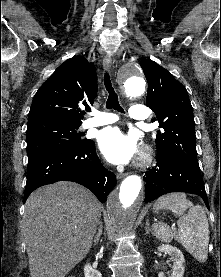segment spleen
I'll return each instance as SVG.
<instances>
[{
    "label": "spleen",
    "instance_id": "3e777b00",
    "mask_svg": "<svg viewBox=\"0 0 221 277\" xmlns=\"http://www.w3.org/2000/svg\"><path fill=\"white\" fill-rule=\"evenodd\" d=\"M155 207L170 210L179 219L177 231L163 223L154 224V235L164 242L175 239L197 261L204 263L208 256L209 243V224L204 209L199 205L194 206L183 193L162 196L156 201Z\"/></svg>",
    "mask_w": 221,
    "mask_h": 277
}]
</instances>
